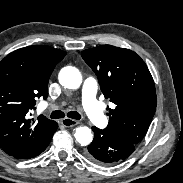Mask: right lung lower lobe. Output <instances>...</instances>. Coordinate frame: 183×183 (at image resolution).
Segmentation results:
<instances>
[{"mask_svg":"<svg viewBox=\"0 0 183 183\" xmlns=\"http://www.w3.org/2000/svg\"><path fill=\"white\" fill-rule=\"evenodd\" d=\"M57 128H58V124L55 123V125L52 127L51 133L48 135L47 139L43 142L42 146L39 148V150L35 154V156L39 155L41 152H43L47 148V146L49 145V143H50V141L52 139V136L56 132Z\"/></svg>","mask_w":183,"mask_h":183,"instance_id":"1","label":"right lung lower lobe"}]
</instances>
